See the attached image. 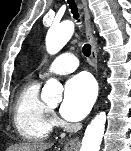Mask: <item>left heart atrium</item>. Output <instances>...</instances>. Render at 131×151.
<instances>
[{"label":"left heart atrium","instance_id":"obj_1","mask_svg":"<svg viewBox=\"0 0 131 151\" xmlns=\"http://www.w3.org/2000/svg\"><path fill=\"white\" fill-rule=\"evenodd\" d=\"M96 97V84L87 73H79L70 78L64 91L61 115L69 121L84 118L91 109Z\"/></svg>","mask_w":131,"mask_h":151}]
</instances>
